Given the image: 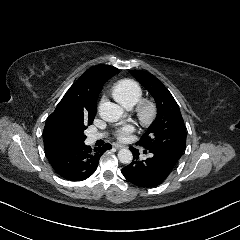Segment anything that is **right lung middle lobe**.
Masks as SVG:
<instances>
[{
  "label": "right lung middle lobe",
  "instance_id": "obj_1",
  "mask_svg": "<svg viewBox=\"0 0 240 240\" xmlns=\"http://www.w3.org/2000/svg\"><path fill=\"white\" fill-rule=\"evenodd\" d=\"M92 122L93 121L85 122L83 120H72L66 124L64 132L67 137L83 143L86 139L84 130L87 128V125L92 124Z\"/></svg>",
  "mask_w": 240,
  "mask_h": 240
}]
</instances>
